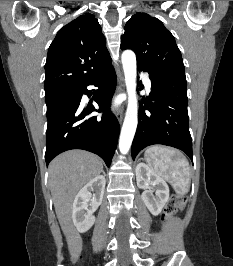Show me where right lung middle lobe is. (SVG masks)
<instances>
[{
  "instance_id": "dd1d6c3e",
  "label": "right lung middle lobe",
  "mask_w": 233,
  "mask_h": 266,
  "mask_svg": "<svg viewBox=\"0 0 233 266\" xmlns=\"http://www.w3.org/2000/svg\"><path fill=\"white\" fill-rule=\"evenodd\" d=\"M75 92V90H60V91H54L50 93H45V101L47 106H50L70 95H72Z\"/></svg>"
}]
</instances>
